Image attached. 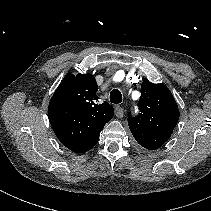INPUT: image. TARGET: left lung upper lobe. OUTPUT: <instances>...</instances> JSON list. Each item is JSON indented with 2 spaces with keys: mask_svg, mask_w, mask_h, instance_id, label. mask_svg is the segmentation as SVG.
<instances>
[{
  "mask_svg": "<svg viewBox=\"0 0 211 211\" xmlns=\"http://www.w3.org/2000/svg\"><path fill=\"white\" fill-rule=\"evenodd\" d=\"M138 106L140 113L137 117L128 114L130 131L139 145L155 150L170 138L177 125V103L165 85L144 80Z\"/></svg>",
  "mask_w": 211,
  "mask_h": 211,
  "instance_id": "1",
  "label": "left lung upper lobe"
}]
</instances>
